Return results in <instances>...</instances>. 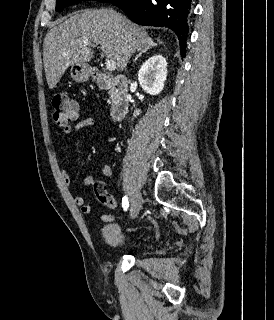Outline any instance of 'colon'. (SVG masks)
Instances as JSON below:
<instances>
[{"label": "colon", "mask_w": 274, "mask_h": 320, "mask_svg": "<svg viewBox=\"0 0 274 320\" xmlns=\"http://www.w3.org/2000/svg\"><path fill=\"white\" fill-rule=\"evenodd\" d=\"M53 121L61 126L72 127L79 118L78 105L70 101L65 92H58L52 98ZM93 188L95 193L101 194V201L104 206L111 209L116 208V202L110 194L106 192L105 182H94Z\"/></svg>", "instance_id": "1"}]
</instances>
